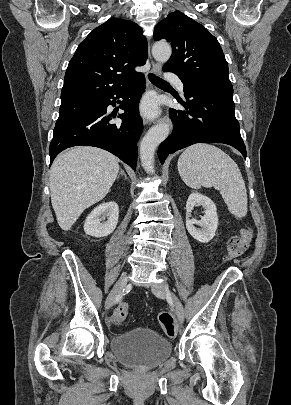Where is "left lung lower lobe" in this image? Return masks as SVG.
Segmentation results:
<instances>
[{"instance_id": "left-lung-lower-lobe-1", "label": "left lung lower lobe", "mask_w": 291, "mask_h": 405, "mask_svg": "<svg viewBox=\"0 0 291 405\" xmlns=\"http://www.w3.org/2000/svg\"><path fill=\"white\" fill-rule=\"evenodd\" d=\"M181 81L184 84L186 102H179L186 110L170 109L174 129L159 145L158 156L161 164L169 154L196 143L228 144L246 158V147L234 113L232 85Z\"/></svg>"}]
</instances>
